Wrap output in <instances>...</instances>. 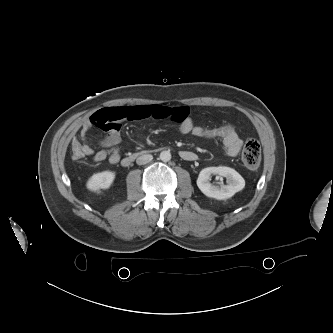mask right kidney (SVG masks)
<instances>
[{
	"label": "right kidney",
	"mask_w": 333,
	"mask_h": 333,
	"mask_svg": "<svg viewBox=\"0 0 333 333\" xmlns=\"http://www.w3.org/2000/svg\"><path fill=\"white\" fill-rule=\"evenodd\" d=\"M115 179V173L112 171H103L91 176L87 181V188L91 191L99 189H108Z\"/></svg>",
	"instance_id": "obj_1"
}]
</instances>
